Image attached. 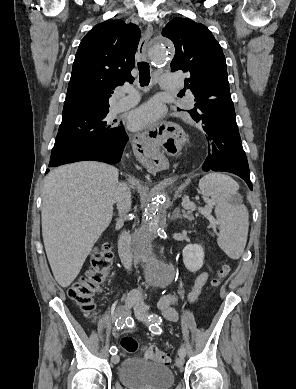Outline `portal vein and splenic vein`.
<instances>
[{"label":"portal vein and splenic vein","mask_w":296,"mask_h":389,"mask_svg":"<svg viewBox=\"0 0 296 389\" xmlns=\"http://www.w3.org/2000/svg\"><path fill=\"white\" fill-rule=\"evenodd\" d=\"M194 207V203L190 202L189 199H187L185 201V203L183 204V208L188 210V209H192ZM202 214L204 216H209L210 215V209H204Z\"/></svg>","instance_id":"obj_1"}]
</instances>
